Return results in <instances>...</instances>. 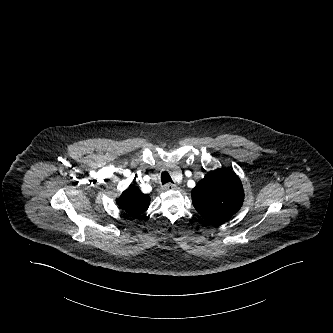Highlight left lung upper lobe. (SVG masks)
Masks as SVG:
<instances>
[{
	"mask_svg": "<svg viewBox=\"0 0 333 333\" xmlns=\"http://www.w3.org/2000/svg\"><path fill=\"white\" fill-rule=\"evenodd\" d=\"M191 196L198 213L208 222L218 224L241 208L244 191L234 172L218 169L207 173L193 188Z\"/></svg>",
	"mask_w": 333,
	"mask_h": 333,
	"instance_id": "obj_1",
	"label": "left lung upper lobe"
}]
</instances>
